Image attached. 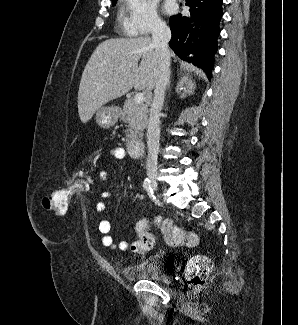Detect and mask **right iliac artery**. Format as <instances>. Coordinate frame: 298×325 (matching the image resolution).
Masks as SVG:
<instances>
[{"instance_id":"1","label":"right iliac artery","mask_w":298,"mask_h":325,"mask_svg":"<svg viewBox=\"0 0 298 325\" xmlns=\"http://www.w3.org/2000/svg\"><path fill=\"white\" fill-rule=\"evenodd\" d=\"M143 188H144L147 192H151V193H152L151 181H150L149 178L144 179V182H143Z\"/></svg>"}]
</instances>
